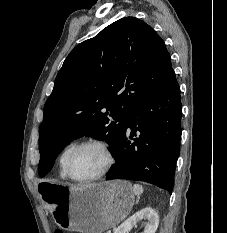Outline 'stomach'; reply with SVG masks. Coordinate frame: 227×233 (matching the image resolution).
<instances>
[{
	"label": "stomach",
	"mask_w": 227,
	"mask_h": 233,
	"mask_svg": "<svg viewBox=\"0 0 227 233\" xmlns=\"http://www.w3.org/2000/svg\"><path fill=\"white\" fill-rule=\"evenodd\" d=\"M40 197L56 224L80 233H103L124 220L135 202L131 185L109 181L75 188L42 182Z\"/></svg>",
	"instance_id": "obj_1"
}]
</instances>
